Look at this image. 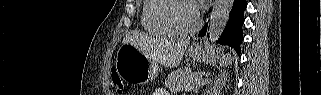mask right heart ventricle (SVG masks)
<instances>
[{"label": "right heart ventricle", "mask_w": 321, "mask_h": 95, "mask_svg": "<svg viewBox=\"0 0 321 95\" xmlns=\"http://www.w3.org/2000/svg\"><path fill=\"white\" fill-rule=\"evenodd\" d=\"M159 4V0H144L141 7V22L150 34L167 36L169 33L155 21L154 13Z\"/></svg>", "instance_id": "e07e8e85"}]
</instances>
